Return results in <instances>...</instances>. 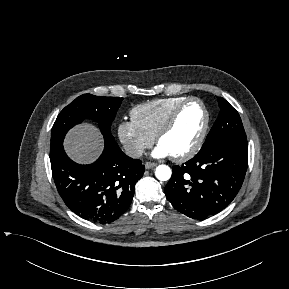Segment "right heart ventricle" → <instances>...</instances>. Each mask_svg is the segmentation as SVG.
Returning a JSON list of instances; mask_svg holds the SVG:
<instances>
[{"label":"right heart ventricle","instance_id":"e07e8e85","mask_svg":"<svg viewBox=\"0 0 289 289\" xmlns=\"http://www.w3.org/2000/svg\"><path fill=\"white\" fill-rule=\"evenodd\" d=\"M188 97L175 96L152 100L131 110L132 120L153 138L174 109Z\"/></svg>","mask_w":289,"mask_h":289}]
</instances>
